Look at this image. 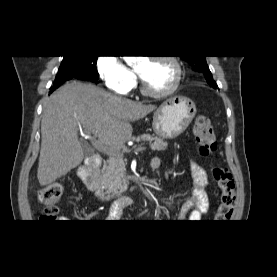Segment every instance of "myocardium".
Masks as SVG:
<instances>
[{
  "label": "myocardium",
  "mask_w": 277,
  "mask_h": 277,
  "mask_svg": "<svg viewBox=\"0 0 277 277\" xmlns=\"http://www.w3.org/2000/svg\"><path fill=\"white\" fill-rule=\"evenodd\" d=\"M150 60L165 61V62L169 63L172 66V68L174 69V79H173L171 85L167 89H165L163 91H152L146 86L142 76L138 73V76L140 79V89H141L142 94H144L148 97H151V98H164V97L172 95L179 87V85L181 83L182 75H183V70H182V66H181L180 62L178 61V59L176 57H173L170 55L154 56V57H151Z\"/></svg>",
  "instance_id": "myocardium-1"
}]
</instances>
